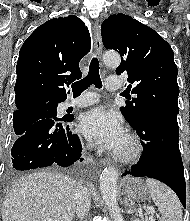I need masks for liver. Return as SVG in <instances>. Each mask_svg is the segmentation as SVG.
I'll use <instances>...</instances> for the list:
<instances>
[{
    "mask_svg": "<svg viewBox=\"0 0 190 221\" xmlns=\"http://www.w3.org/2000/svg\"><path fill=\"white\" fill-rule=\"evenodd\" d=\"M77 182L59 172L40 171L19 179L2 204V221H72Z\"/></svg>",
    "mask_w": 190,
    "mask_h": 221,
    "instance_id": "6515ba94",
    "label": "liver"
}]
</instances>
